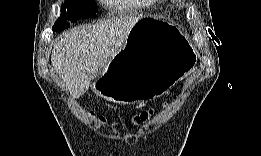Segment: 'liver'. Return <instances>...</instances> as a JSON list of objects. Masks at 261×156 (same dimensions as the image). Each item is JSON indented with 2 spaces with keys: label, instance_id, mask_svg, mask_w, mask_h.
<instances>
[{
  "label": "liver",
  "instance_id": "1",
  "mask_svg": "<svg viewBox=\"0 0 261 156\" xmlns=\"http://www.w3.org/2000/svg\"><path fill=\"white\" fill-rule=\"evenodd\" d=\"M139 16H119L78 26L54 42L51 63L73 98L83 95L120 52Z\"/></svg>",
  "mask_w": 261,
  "mask_h": 156
}]
</instances>
